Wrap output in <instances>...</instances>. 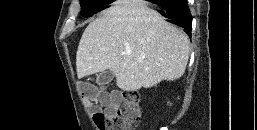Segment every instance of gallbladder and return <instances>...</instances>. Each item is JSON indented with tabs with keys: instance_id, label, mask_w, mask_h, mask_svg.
<instances>
[{
	"instance_id": "obj_1",
	"label": "gallbladder",
	"mask_w": 257,
	"mask_h": 130,
	"mask_svg": "<svg viewBox=\"0 0 257 130\" xmlns=\"http://www.w3.org/2000/svg\"><path fill=\"white\" fill-rule=\"evenodd\" d=\"M114 78V73L110 70H106L97 75L95 82L98 85L109 84Z\"/></svg>"
}]
</instances>
